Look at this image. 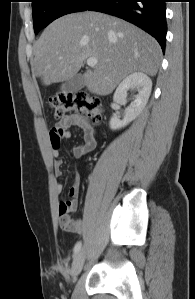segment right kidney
Instances as JSON below:
<instances>
[{"mask_svg": "<svg viewBox=\"0 0 195 299\" xmlns=\"http://www.w3.org/2000/svg\"><path fill=\"white\" fill-rule=\"evenodd\" d=\"M129 89L137 90L138 94L135 96L134 101L127 107L125 116L122 120L116 116L111 117L109 125L112 130L121 129L127 126L140 115L151 94L152 81L142 72H134L127 76L119 84L114 93L113 101L116 103V107H119L118 103L126 99Z\"/></svg>", "mask_w": 195, "mask_h": 299, "instance_id": "1", "label": "right kidney"}]
</instances>
